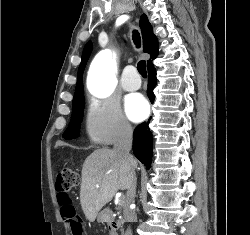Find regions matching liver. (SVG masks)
I'll return each mask as SVG.
<instances>
[{"label":"liver","mask_w":250,"mask_h":235,"mask_svg":"<svg viewBox=\"0 0 250 235\" xmlns=\"http://www.w3.org/2000/svg\"><path fill=\"white\" fill-rule=\"evenodd\" d=\"M136 168L134 159L129 167L114 149H98L86 158L82 167L80 203L90 222L95 221L100 209L119 189H128Z\"/></svg>","instance_id":"liver-1"}]
</instances>
